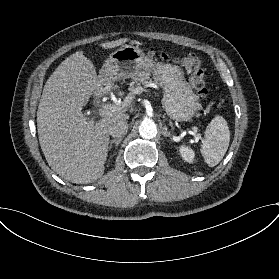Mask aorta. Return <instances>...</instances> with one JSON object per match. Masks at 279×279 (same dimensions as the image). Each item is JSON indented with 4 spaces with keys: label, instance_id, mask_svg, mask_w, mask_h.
<instances>
[{
    "label": "aorta",
    "instance_id": "obj_1",
    "mask_svg": "<svg viewBox=\"0 0 279 279\" xmlns=\"http://www.w3.org/2000/svg\"><path fill=\"white\" fill-rule=\"evenodd\" d=\"M139 134L144 139H152L157 135V126L150 120H144L139 126Z\"/></svg>",
    "mask_w": 279,
    "mask_h": 279
}]
</instances>
